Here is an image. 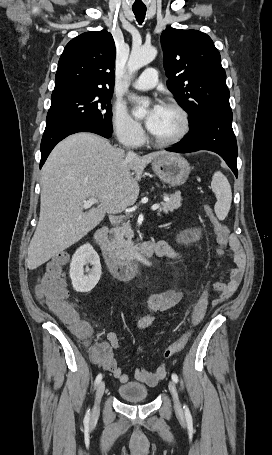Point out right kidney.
I'll return each instance as SVG.
<instances>
[{
    "label": "right kidney",
    "instance_id": "obj_1",
    "mask_svg": "<svg viewBox=\"0 0 272 455\" xmlns=\"http://www.w3.org/2000/svg\"><path fill=\"white\" fill-rule=\"evenodd\" d=\"M101 273L100 259L93 247L88 243L79 247L70 264V278L74 290L90 292L98 283Z\"/></svg>",
    "mask_w": 272,
    "mask_h": 455
}]
</instances>
